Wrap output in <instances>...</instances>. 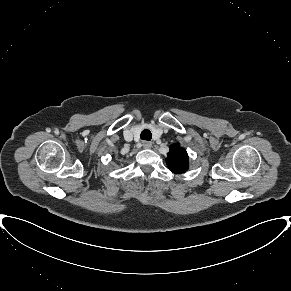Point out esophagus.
I'll list each match as a JSON object with an SVG mask.
<instances>
[{"label":"esophagus","mask_w":291,"mask_h":291,"mask_svg":"<svg viewBox=\"0 0 291 291\" xmlns=\"http://www.w3.org/2000/svg\"><path fill=\"white\" fill-rule=\"evenodd\" d=\"M142 145H143V148H145V149H150V148L152 147V142L144 141V142L142 143Z\"/></svg>","instance_id":"34e87169"}]
</instances>
